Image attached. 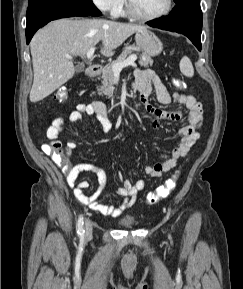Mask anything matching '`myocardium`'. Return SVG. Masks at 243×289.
Wrapping results in <instances>:
<instances>
[{
    "label": "myocardium",
    "instance_id": "myocardium-1",
    "mask_svg": "<svg viewBox=\"0 0 243 289\" xmlns=\"http://www.w3.org/2000/svg\"><path fill=\"white\" fill-rule=\"evenodd\" d=\"M125 1V11L126 13L136 19V20H141V21H152V20H157V19H160L166 15H168L171 10H172V7H173V0H167V5L165 7V9L156 14V15H150V16H147V15H142L140 14L133 6V3H132V0H124Z\"/></svg>",
    "mask_w": 243,
    "mask_h": 289
}]
</instances>
